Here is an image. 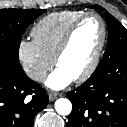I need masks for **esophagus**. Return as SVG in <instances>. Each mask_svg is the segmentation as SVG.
<instances>
[{"label":"esophagus","mask_w":127,"mask_h":127,"mask_svg":"<svg viewBox=\"0 0 127 127\" xmlns=\"http://www.w3.org/2000/svg\"><path fill=\"white\" fill-rule=\"evenodd\" d=\"M59 97L58 93H50L49 94V100L50 101H54L55 99H57Z\"/></svg>","instance_id":"1"}]
</instances>
